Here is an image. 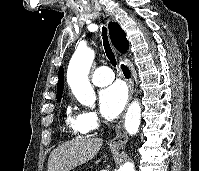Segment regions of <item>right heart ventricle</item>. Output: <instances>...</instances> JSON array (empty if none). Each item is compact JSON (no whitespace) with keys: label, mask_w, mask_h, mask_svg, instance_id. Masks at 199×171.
I'll list each match as a JSON object with an SVG mask.
<instances>
[{"label":"right heart ventricle","mask_w":199,"mask_h":171,"mask_svg":"<svg viewBox=\"0 0 199 171\" xmlns=\"http://www.w3.org/2000/svg\"><path fill=\"white\" fill-rule=\"evenodd\" d=\"M65 113L66 122L71 132L78 136L84 135L86 131L81 124V115L73 113L72 108L69 105L66 107Z\"/></svg>","instance_id":"right-heart-ventricle-1"}]
</instances>
